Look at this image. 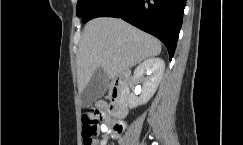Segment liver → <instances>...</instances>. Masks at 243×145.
<instances>
[{"mask_svg": "<svg viewBox=\"0 0 243 145\" xmlns=\"http://www.w3.org/2000/svg\"><path fill=\"white\" fill-rule=\"evenodd\" d=\"M161 43L121 19L100 17L83 30L76 56L78 91L82 93L94 72L102 68L109 78L141 61L157 56Z\"/></svg>", "mask_w": 243, "mask_h": 145, "instance_id": "6515ba94", "label": "liver"}]
</instances>
